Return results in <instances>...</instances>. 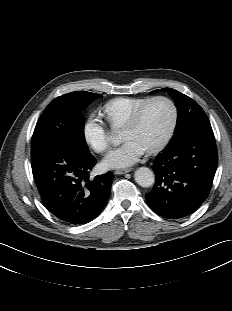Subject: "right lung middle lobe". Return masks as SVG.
Instances as JSON below:
<instances>
[{"label":"right lung middle lobe","mask_w":232,"mask_h":311,"mask_svg":"<svg viewBox=\"0 0 232 311\" xmlns=\"http://www.w3.org/2000/svg\"><path fill=\"white\" fill-rule=\"evenodd\" d=\"M100 97L99 94L77 91L55 98L36 124L31 150L46 145H62L81 154H89L83 133L82 111Z\"/></svg>","instance_id":"right-lung-middle-lobe-1"}]
</instances>
